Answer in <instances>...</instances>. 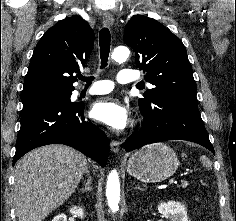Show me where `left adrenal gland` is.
I'll use <instances>...</instances> for the list:
<instances>
[{
	"mask_svg": "<svg viewBox=\"0 0 236 221\" xmlns=\"http://www.w3.org/2000/svg\"><path fill=\"white\" fill-rule=\"evenodd\" d=\"M135 189H136V190H141V191H144V190H145L144 188L140 187L139 185H135Z\"/></svg>",
	"mask_w": 236,
	"mask_h": 221,
	"instance_id": "obj_1",
	"label": "left adrenal gland"
}]
</instances>
